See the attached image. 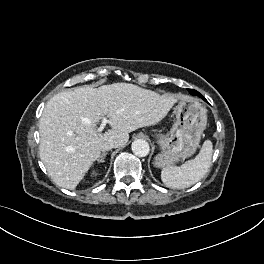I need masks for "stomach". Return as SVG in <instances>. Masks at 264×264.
I'll return each instance as SVG.
<instances>
[{"mask_svg":"<svg viewBox=\"0 0 264 264\" xmlns=\"http://www.w3.org/2000/svg\"><path fill=\"white\" fill-rule=\"evenodd\" d=\"M177 103L176 120L170 131L154 135L161 150L155 157L157 167L173 166L192 156L207 125L206 109L197 99L180 96Z\"/></svg>","mask_w":264,"mask_h":264,"instance_id":"stomach-1","label":"stomach"}]
</instances>
